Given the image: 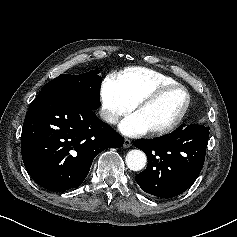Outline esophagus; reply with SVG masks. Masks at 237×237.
I'll use <instances>...</instances> for the list:
<instances>
[{
  "instance_id": "esophagus-1",
  "label": "esophagus",
  "mask_w": 237,
  "mask_h": 237,
  "mask_svg": "<svg viewBox=\"0 0 237 237\" xmlns=\"http://www.w3.org/2000/svg\"><path fill=\"white\" fill-rule=\"evenodd\" d=\"M131 145H132V142H131L130 139H125L124 140V144H123L124 148H129Z\"/></svg>"
}]
</instances>
